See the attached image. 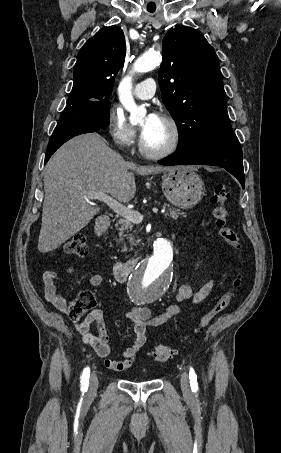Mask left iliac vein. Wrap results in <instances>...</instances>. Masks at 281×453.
Wrapping results in <instances>:
<instances>
[{
	"instance_id": "left-iliac-vein-1",
	"label": "left iliac vein",
	"mask_w": 281,
	"mask_h": 453,
	"mask_svg": "<svg viewBox=\"0 0 281 453\" xmlns=\"http://www.w3.org/2000/svg\"><path fill=\"white\" fill-rule=\"evenodd\" d=\"M180 382H181V388H182V391H183V394L184 395H191L192 394V389H191V386H190V381H189V377H188V373L186 371H183L181 373V377H180Z\"/></svg>"
}]
</instances>
